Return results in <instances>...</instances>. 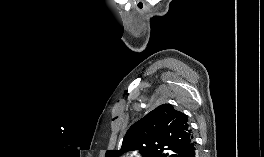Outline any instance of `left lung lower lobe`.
<instances>
[{
    "mask_svg": "<svg viewBox=\"0 0 264 157\" xmlns=\"http://www.w3.org/2000/svg\"><path fill=\"white\" fill-rule=\"evenodd\" d=\"M185 157H199L197 153L196 143L194 140L188 146Z\"/></svg>",
    "mask_w": 264,
    "mask_h": 157,
    "instance_id": "0a47b994",
    "label": "left lung lower lobe"
}]
</instances>
